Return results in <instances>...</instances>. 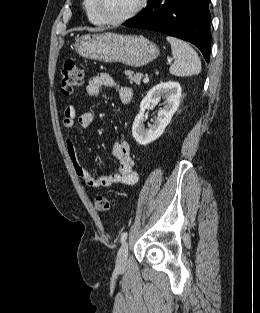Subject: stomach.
Returning <instances> with one entry per match:
<instances>
[{"mask_svg": "<svg viewBox=\"0 0 260 313\" xmlns=\"http://www.w3.org/2000/svg\"><path fill=\"white\" fill-rule=\"evenodd\" d=\"M74 49L84 58L131 67H142L159 56L158 46L147 38L112 32L85 34L76 39Z\"/></svg>", "mask_w": 260, "mask_h": 313, "instance_id": "1", "label": "stomach"}]
</instances>
